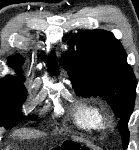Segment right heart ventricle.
I'll list each match as a JSON object with an SVG mask.
<instances>
[{
  "label": "right heart ventricle",
  "mask_w": 139,
  "mask_h": 150,
  "mask_svg": "<svg viewBox=\"0 0 139 150\" xmlns=\"http://www.w3.org/2000/svg\"><path fill=\"white\" fill-rule=\"evenodd\" d=\"M73 121L77 127L88 132H99L103 127V113L94 102L80 101L73 109Z\"/></svg>",
  "instance_id": "1"
}]
</instances>
